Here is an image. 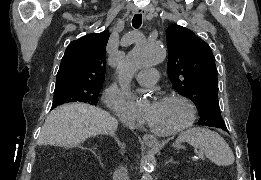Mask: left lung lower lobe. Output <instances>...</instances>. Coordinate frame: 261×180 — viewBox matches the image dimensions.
I'll list each match as a JSON object with an SVG mask.
<instances>
[{"instance_id":"obj_1","label":"left lung lower lobe","mask_w":261,"mask_h":180,"mask_svg":"<svg viewBox=\"0 0 261 180\" xmlns=\"http://www.w3.org/2000/svg\"><path fill=\"white\" fill-rule=\"evenodd\" d=\"M223 130L227 131V128H225V129H223Z\"/></svg>"}]
</instances>
